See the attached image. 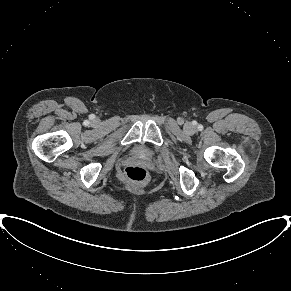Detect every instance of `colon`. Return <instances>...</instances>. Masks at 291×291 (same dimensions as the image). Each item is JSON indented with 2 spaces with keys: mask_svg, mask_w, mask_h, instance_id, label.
Returning <instances> with one entry per match:
<instances>
[{
  "mask_svg": "<svg viewBox=\"0 0 291 291\" xmlns=\"http://www.w3.org/2000/svg\"><path fill=\"white\" fill-rule=\"evenodd\" d=\"M124 175L130 185L137 186L146 183L149 179L148 171L138 165H129L124 169Z\"/></svg>",
  "mask_w": 291,
  "mask_h": 291,
  "instance_id": "5ec220e1",
  "label": "colon"
}]
</instances>
